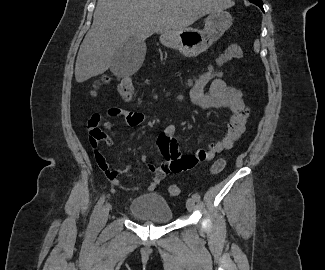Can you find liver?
I'll use <instances>...</instances> for the list:
<instances>
[{"instance_id": "obj_1", "label": "liver", "mask_w": 325, "mask_h": 270, "mask_svg": "<svg viewBox=\"0 0 325 270\" xmlns=\"http://www.w3.org/2000/svg\"><path fill=\"white\" fill-rule=\"evenodd\" d=\"M232 6L231 0H98L78 52L75 79L82 83L103 74L130 37L144 41L154 33L177 35L204 15Z\"/></svg>"}]
</instances>
